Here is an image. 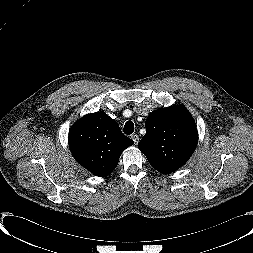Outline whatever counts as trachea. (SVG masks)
Instances as JSON below:
<instances>
[{
  "label": "trachea",
  "instance_id": "1",
  "mask_svg": "<svg viewBox=\"0 0 253 253\" xmlns=\"http://www.w3.org/2000/svg\"><path fill=\"white\" fill-rule=\"evenodd\" d=\"M134 132V123L132 121H127L124 125V133L130 135Z\"/></svg>",
  "mask_w": 253,
  "mask_h": 253
}]
</instances>
